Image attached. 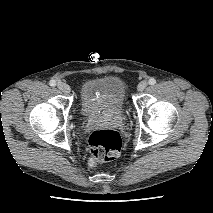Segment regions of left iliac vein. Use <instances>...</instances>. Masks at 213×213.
I'll return each instance as SVG.
<instances>
[{
	"label": "left iliac vein",
	"instance_id": "1",
	"mask_svg": "<svg viewBox=\"0 0 213 213\" xmlns=\"http://www.w3.org/2000/svg\"><path fill=\"white\" fill-rule=\"evenodd\" d=\"M148 85V82L146 80L141 81L138 86H137V90L142 92Z\"/></svg>",
	"mask_w": 213,
	"mask_h": 213
}]
</instances>
